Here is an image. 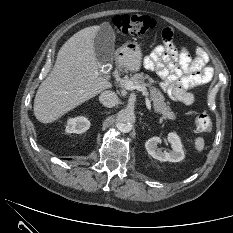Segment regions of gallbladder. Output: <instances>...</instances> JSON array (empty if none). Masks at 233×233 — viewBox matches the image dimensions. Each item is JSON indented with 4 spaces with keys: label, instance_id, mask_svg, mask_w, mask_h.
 <instances>
[{
    "label": "gallbladder",
    "instance_id": "obj_1",
    "mask_svg": "<svg viewBox=\"0 0 233 233\" xmlns=\"http://www.w3.org/2000/svg\"><path fill=\"white\" fill-rule=\"evenodd\" d=\"M115 33L109 23H102L94 38V52L101 63L109 61L114 54Z\"/></svg>",
    "mask_w": 233,
    "mask_h": 233
}]
</instances>
